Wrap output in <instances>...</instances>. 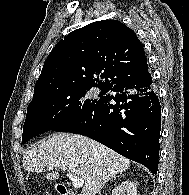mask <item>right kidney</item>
Returning a JSON list of instances; mask_svg holds the SVG:
<instances>
[{"label": "right kidney", "instance_id": "ca27d5eb", "mask_svg": "<svg viewBox=\"0 0 189 195\" xmlns=\"http://www.w3.org/2000/svg\"><path fill=\"white\" fill-rule=\"evenodd\" d=\"M112 195H137V186L129 180L123 181L112 190Z\"/></svg>", "mask_w": 189, "mask_h": 195}]
</instances>
